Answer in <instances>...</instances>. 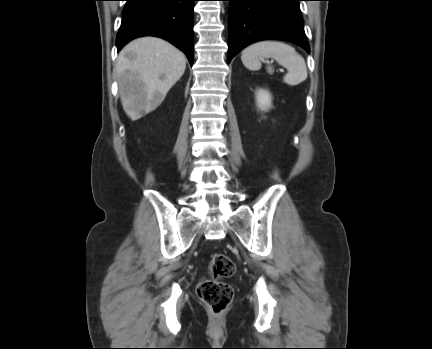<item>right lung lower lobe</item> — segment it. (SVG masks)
Wrapping results in <instances>:
<instances>
[{"label": "right lung lower lobe", "mask_w": 432, "mask_h": 349, "mask_svg": "<svg viewBox=\"0 0 432 349\" xmlns=\"http://www.w3.org/2000/svg\"><path fill=\"white\" fill-rule=\"evenodd\" d=\"M116 38L118 51L142 36L163 38L181 49L193 64V8L196 0H126Z\"/></svg>", "instance_id": "98d812e1"}]
</instances>
